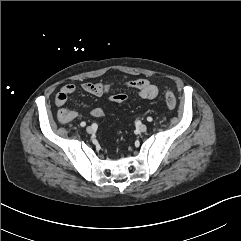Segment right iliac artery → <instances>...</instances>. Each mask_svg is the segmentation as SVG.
<instances>
[{
    "mask_svg": "<svg viewBox=\"0 0 241 241\" xmlns=\"http://www.w3.org/2000/svg\"><path fill=\"white\" fill-rule=\"evenodd\" d=\"M80 125H81V127H84V126H86V123L85 122H81Z\"/></svg>",
    "mask_w": 241,
    "mask_h": 241,
    "instance_id": "right-iliac-artery-1",
    "label": "right iliac artery"
}]
</instances>
